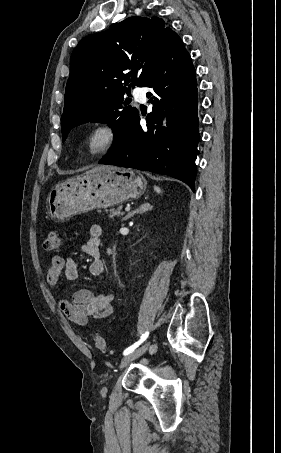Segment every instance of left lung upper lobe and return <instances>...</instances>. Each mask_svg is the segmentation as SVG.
Returning <instances> with one entry per match:
<instances>
[{
	"instance_id": "left-lung-upper-lobe-1",
	"label": "left lung upper lobe",
	"mask_w": 281,
	"mask_h": 453,
	"mask_svg": "<svg viewBox=\"0 0 281 453\" xmlns=\"http://www.w3.org/2000/svg\"><path fill=\"white\" fill-rule=\"evenodd\" d=\"M176 36L158 17H129L83 38L70 58L62 141L78 124L103 122L113 127L114 148L138 117L136 108L126 106L125 92L146 86Z\"/></svg>"
}]
</instances>
